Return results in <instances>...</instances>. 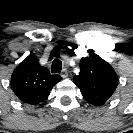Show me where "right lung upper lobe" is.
<instances>
[{
  "mask_svg": "<svg viewBox=\"0 0 133 133\" xmlns=\"http://www.w3.org/2000/svg\"><path fill=\"white\" fill-rule=\"evenodd\" d=\"M61 79L58 75H51L36 58L28 56L13 71L11 86L21 101L36 105L49 96L53 86Z\"/></svg>",
  "mask_w": 133,
  "mask_h": 133,
  "instance_id": "right-lung-upper-lobe-1",
  "label": "right lung upper lobe"
}]
</instances>
